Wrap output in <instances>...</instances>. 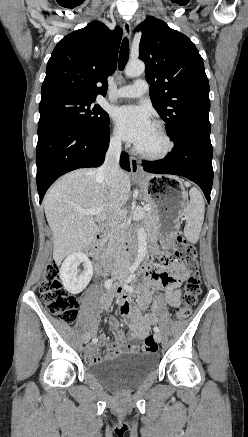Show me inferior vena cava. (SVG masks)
<instances>
[{
  "mask_svg": "<svg viewBox=\"0 0 248 437\" xmlns=\"http://www.w3.org/2000/svg\"><path fill=\"white\" fill-rule=\"evenodd\" d=\"M121 153V140L114 138L109 144L105 161L97 170V177L103 178L111 192H116L119 182V159ZM118 209V208H117ZM109 225L111 227L113 240L116 243L114 249V259L116 265H126L125 248L121 242L122 226L117 215L109 217Z\"/></svg>",
  "mask_w": 248,
  "mask_h": 437,
  "instance_id": "1",
  "label": "inferior vena cava"
}]
</instances>
